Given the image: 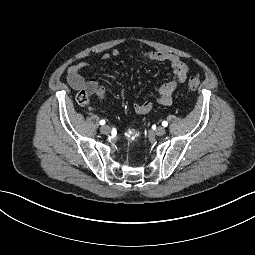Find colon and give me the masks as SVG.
<instances>
[{"mask_svg": "<svg viewBox=\"0 0 255 255\" xmlns=\"http://www.w3.org/2000/svg\"><path fill=\"white\" fill-rule=\"evenodd\" d=\"M199 85H200L199 77L192 76L188 79L187 86L189 90L194 91L199 87ZM76 100L80 105L86 106L90 103V96L86 90L82 89L78 92Z\"/></svg>", "mask_w": 255, "mask_h": 255, "instance_id": "5ec220e1", "label": "colon"}]
</instances>
